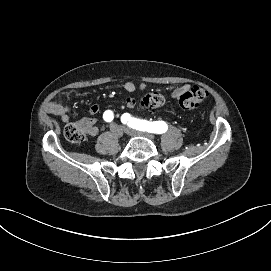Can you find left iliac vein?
<instances>
[{
    "label": "left iliac vein",
    "mask_w": 271,
    "mask_h": 271,
    "mask_svg": "<svg viewBox=\"0 0 271 271\" xmlns=\"http://www.w3.org/2000/svg\"><path fill=\"white\" fill-rule=\"evenodd\" d=\"M125 132L128 133L129 135H137V136H143V137H146L150 140H153L155 138V135L152 134V133H147V132H140V131H136V130H133L131 128H128L126 127L125 129Z\"/></svg>",
    "instance_id": "4c4485c4"
}]
</instances>
